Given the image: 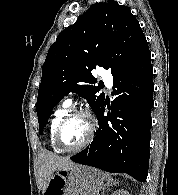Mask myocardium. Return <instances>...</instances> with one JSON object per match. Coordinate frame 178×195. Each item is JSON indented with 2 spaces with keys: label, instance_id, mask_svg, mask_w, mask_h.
Segmentation results:
<instances>
[{
  "label": "myocardium",
  "instance_id": "f54148a6",
  "mask_svg": "<svg viewBox=\"0 0 178 195\" xmlns=\"http://www.w3.org/2000/svg\"><path fill=\"white\" fill-rule=\"evenodd\" d=\"M76 117H83L87 120L88 123V135L86 139L78 146L76 147H66L62 141H61V135L62 131L65 127V125L72 120L73 118ZM96 127H95V122L93 119V116L90 114L89 111L87 110H82V109H76L71 112H68L59 122V124L56 127L55 134H54V142L55 144L65 152H78L86 148L93 140L94 135H95Z\"/></svg>",
  "mask_w": 178,
  "mask_h": 195
}]
</instances>
